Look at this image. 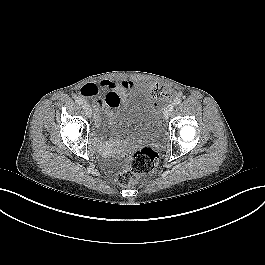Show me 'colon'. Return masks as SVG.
<instances>
[{
    "label": "colon",
    "mask_w": 265,
    "mask_h": 265,
    "mask_svg": "<svg viewBox=\"0 0 265 265\" xmlns=\"http://www.w3.org/2000/svg\"><path fill=\"white\" fill-rule=\"evenodd\" d=\"M158 161L159 154L155 149L151 147L138 149L126 159L125 166L117 177V182L121 186L134 184L139 177L154 171Z\"/></svg>",
    "instance_id": "colon-1"
}]
</instances>
